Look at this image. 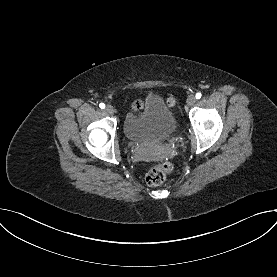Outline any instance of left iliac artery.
Wrapping results in <instances>:
<instances>
[{
	"instance_id": "left-iliac-artery-1",
	"label": "left iliac artery",
	"mask_w": 277,
	"mask_h": 277,
	"mask_svg": "<svg viewBox=\"0 0 277 277\" xmlns=\"http://www.w3.org/2000/svg\"><path fill=\"white\" fill-rule=\"evenodd\" d=\"M201 96H202L201 93H197V94H196V98H197V99H200Z\"/></svg>"
}]
</instances>
